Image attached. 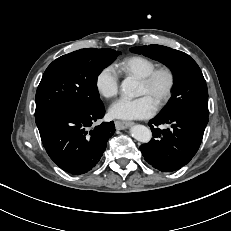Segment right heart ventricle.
Instances as JSON below:
<instances>
[{
  "instance_id": "e07e8e85",
  "label": "right heart ventricle",
  "mask_w": 231,
  "mask_h": 231,
  "mask_svg": "<svg viewBox=\"0 0 231 231\" xmlns=\"http://www.w3.org/2000/svg\"><path fill=\"white\" fill-rule=\"evenodd\" d=\"M115 66L120 73L142 78L156 67V63L148 57L133 55L122 59Z\"/></svg>"
}]
</instances>
